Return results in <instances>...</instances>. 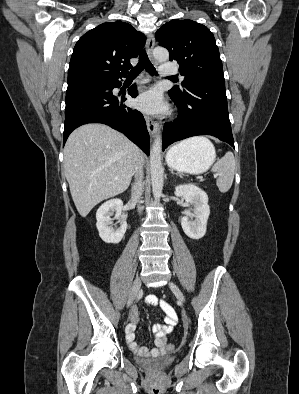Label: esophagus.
I'll use <instances>...</instances> for the list:
<instances>
[{
  "label": "esophagus",
  "mask_w": 299,
  "mask_h": 394,
  "mask_svg": "<svg viewBox=\"0 0 299 394\" xmlns=\"http://www.w3.org/2000/svg\"><path fill=\"white\" fill-rule=\"evenodd\" d=\"M154 44H155V38L153 34H149L148 38H147V42H146V51L148 53V55L151 57L152 55V50L154 48ZM146 120V125H147V129L150 133V135H154L157 133V131L160 129L159 123H157L156 121H154L152 118H150L149 116L145 117Z\"/></svg>",
  "instance_id": "esophagus-1"
}]
</instances>
